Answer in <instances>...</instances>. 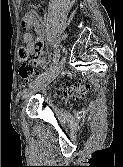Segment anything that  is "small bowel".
Listing matches in <instances>:
<instances>
[{
    "label": "small bowel",
    "instance_id": "c3829d8e",
    "mask_svg": "<svg viewBox=\"0 0 123 167\" xmlns=\"http://www.w3.org/2000/svg\"><path fill=\"white\" fill-rule=\"evenodd\" d=\"M20 26L34 27L35 32L37 34L36 40L33 39L31 33L29 32H25L23 34L22 40L26 44L29 53L33 56L32 65L33 66L44 65L45 45L47 44L48 41V37L45 30L32 14H26L23 18V21L20 22Z\"/></svg>",
    "mask_w": 123,
    "mask_h": 167
}]
</instances>
